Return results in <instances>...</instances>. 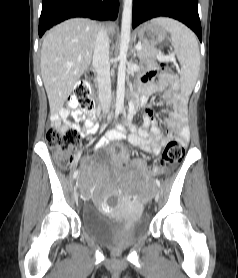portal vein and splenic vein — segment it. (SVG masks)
<instances>
[{
    "instance_id": "obj_1",
    "label": "portal vein and splenic vein",
    "mask_w": 238,
    "mask_h": 278,
    "mask_svg": "<svg viewBox=\"0 0 238 278\" xmlns=\"http://www.w3.org/2000/svg\"><path fill=\"white\" fill-rule=\"evenodd\" d=\"M135 48L137 51H140L142 49V46H141V44H137ZM158 59L176 62V59L173 56H159Z\"/></svg>"
}]
</instances>
